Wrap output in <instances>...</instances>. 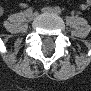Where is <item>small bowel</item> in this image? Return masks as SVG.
Here are the masks:
<instances>
[{
    "mask_svg": "<svg viewBox=\"0 0 91 91\" xmlns=\"http://www.w3.org/2000/svg\"><path fill=\"white\" fill-rule=\"evenodd\" d=\"M89 6V3L88 2H84L82 5H81V9H86L87 7Z\"/></svg>",
    "mask_w": 91,
    "mask_h": 91,
    "instance_id": "1",
    "label": "small bowel"
}]
</instances>
